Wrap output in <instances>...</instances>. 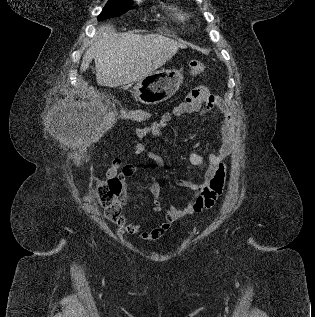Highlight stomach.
<instances>
[{
	"mask_svg": "<svg viewBox=\"0 0 315 317\" xmlns=\"http://www.w3.org/2000/svg\"><path fill=\"white\" fill-rule=\"evenodd\" d=\"M183 83V74L177 69L156 70L138 81L139 101L146 105L158 104L172 97Z\"/></svg>",
	"mask_w": 315,
	"mask_h": 317,
	"instance_id": "0dacf381",
	"label": "stomach"
}]
</instances>
